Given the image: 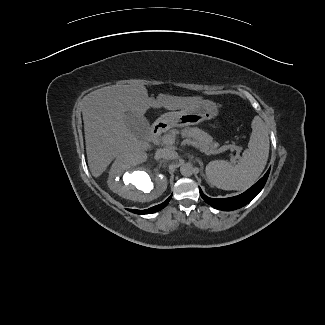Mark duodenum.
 <instances>
[{
    "instance_id": "410a0bca",
    "label": "duodenum",
    "mask_w": 325,
    "mask_h": 325,
    "mask_svg": "<svg viewBox=\"0 0 325 325\" xmlns=\"http://www.w3.org/2000/svg\"><path fill=\"white\" fill-rule=\"evenodd\" d=\"M166 125L163 123H156L153 125L150 132V139L156 140L165 130Z\"/></svg>"
}]
</instances>
